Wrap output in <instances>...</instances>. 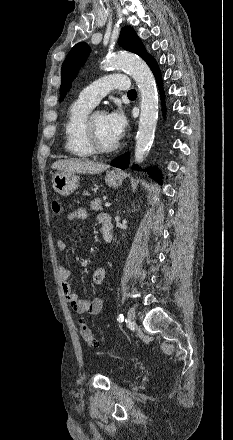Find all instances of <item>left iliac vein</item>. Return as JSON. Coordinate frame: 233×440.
<instances>
[{
    "mask_svg": "<svg viewBox=\"0 0 233 440\" xmlns=\"http://www.w3.org/2000/svg\"><path fill=\"white\" fill-rule=\"evenodd\" d=\"M127 320L130 324L134 323L135 320V310L134 309H129L127 312Z\"/></svg>",
    "mask_w": 233,
    "mask_h": 440,
    "instance_id": "4c4485c4",
    "label": "left iliac vein"
}]
</instances>
